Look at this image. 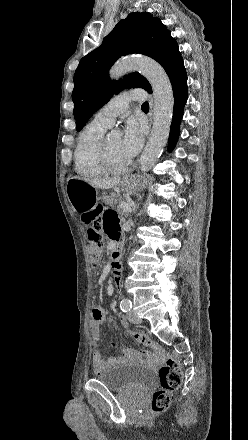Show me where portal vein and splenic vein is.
Returning <instances> with one entry per match:
<instances>
[{
    "label": "portal vein and splenic vein",
    "instance_id": "1",
    "mask_svg": "<svg viewBox=\"0 0 248 440\" xmlns=\"http://www.w3.org/2000/svg\"><path fill=\"white\" fill-rule=\"evenodd\" d=\"M134 206V203L133 204H128V203H126V202H121L120 203V207L123 209V211H125V212H130L131 210H132V207Z\"/></svg>",
    "mask_w": 248,
    "mask_h": 440
}]
</instances>
